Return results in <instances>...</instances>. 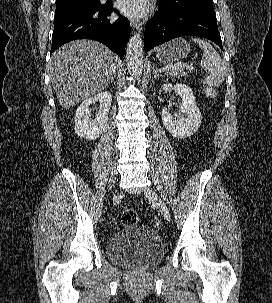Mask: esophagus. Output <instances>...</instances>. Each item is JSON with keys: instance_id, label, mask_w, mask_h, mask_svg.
<instances>
[{"instance_id": "esophagus-1", "label": "esophagus", "mask_w": 272, "mask_h": 303, "mask_svg": "<svg viewBox=\"0 0 272 303\" xmlns=\"http://www.w3.org/2000/svg\"><path fill=\"white\" fill-rule=\"evenodd\" d=\"M129 21H130V24L133 28H135L137 30H142V27L144 25V21L139 20V19H134V18H130Z\"/></svg>"}]
</instances>
